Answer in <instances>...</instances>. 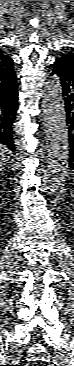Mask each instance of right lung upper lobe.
I'll use <instances>...</instances> for the list:
<instances>
[{"instance_id": "1", "label": "right lung upper lobe", "mask_w": 74, "mask_h": 366, "mask_svg": "<svg viewBox=\"0 0 74 366\" xmlns=\"http://www.w3.org/2000/svg\"><path fill=\"white\" fill-rule=\"evenodd\" d=\"M15 77L13 60L0 50V84L10 83Z\"/></svg>"}]
</instances>
